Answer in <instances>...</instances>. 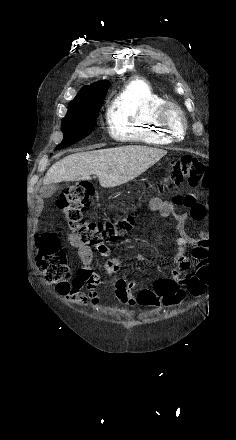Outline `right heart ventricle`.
Returning a JSON list of instances; mask_svg holds the SVG:
<instances>
[{
    "instance_id": "1",
    "label": "right heart ventricle",
    "mask_w": 236,
    "mask_h": 440,
    "mask_svg": "<svg viewBox=\"0 0 236 440\" xmlns=\"http://www.w3.org/2000/svg\"><path fill=\"white\" fill-rule=\"evenodd\" d=\"M166 100L143 79H133L114 97L106 112L110 136L118 141L167 145L157 112Z\"/></svg>"
}]
</instances>
